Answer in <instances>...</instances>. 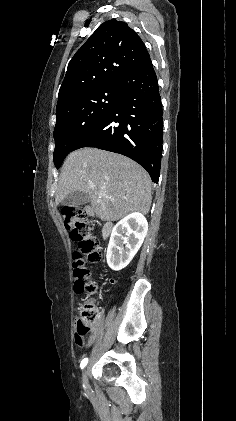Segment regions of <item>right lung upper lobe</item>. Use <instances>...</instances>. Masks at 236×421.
Listing matches in <instances>:
<instances>
[{"instance_id":"cb5924a9","label":"right lung upper lobe","mask_w":236,"mask_h":421,"mask_svg":"<svg viewBox=\"0 0 236 421\" xmlns=\"http://www.w3.org/2000/svg\"><path fill=\"white\" fill-rule=\"evenodd\" d=\"M149 60L143 41L126 23L104 22L71 59L57 107L81 94L117 87L123 76Z\"/></svg>"}]
</instances>
